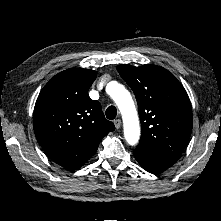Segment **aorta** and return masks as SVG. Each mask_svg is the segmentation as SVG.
Segmentation results:
<instances>
[{"instance_id":"aorta-1","label":"aorta","mask_w":221,"mask_h":221,"mask_svg":"<svg viewBox=\"0 0 221 221\" xmlns=\"http://www.w3.org/2000/svg\"><path fill=\"white\" fill-rule=\"evenodd\" d=\"M110 95L123 115L126 141L130 145L137 144L140 138V126L130 93L122 85L116 83Z\"/></svg>"}]
</instances>
